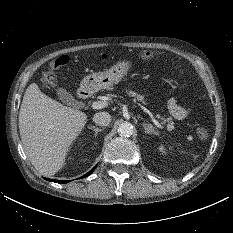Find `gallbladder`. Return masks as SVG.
<instances>
[{
	"label": "gallbladder",
	"mask_w": 233,
	"mask_h": 233,
	"mask_svg": "<svg viewBox=\"0 0 233 233\" xmlns=\"http://www.w3.org/2000/svg\"><path fill=\"white\" fill-rule=\"evenodd\" d=\"M56 92H57L59 99L63 103H65L71 107H76L78 105L77 100H75L74 97L69 92H67L65 89L57 88Z\"/></svg>",
	"instance_id": "gallbladder-1"
}]
</instances>
